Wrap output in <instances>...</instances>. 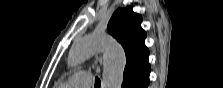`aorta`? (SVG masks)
Wrapping results in <instances>:
<instances>
[{
	"instance_id": "obj_1",
	"label": "aorta",
	"mask_w": 223,
	"mask_h": 88,
	"mask_svg": "<svg viewBox=\"0 0 223 88\" xmlns=\"http://www.w3.org/2000/svg\"><path fill=\"white\" fill-rule=\"evenodd\" d=\"M99 51H103V87L121 88L126 56L123 48L109 36L93 33L74 42L68 64H80Z\"/></svg>"
}]
</instances>
